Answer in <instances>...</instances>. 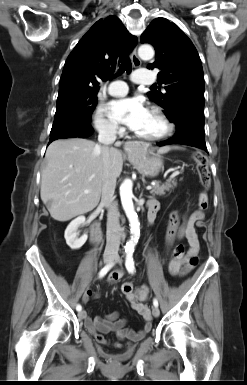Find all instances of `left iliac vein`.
<instances>
[{
    "label": "left iliac vein",
    "instance_id": "1",
    "mask_svg": "<svg viewBox=\"0 0 247 385\" xmlns=\"http://www.w3.org/2000/svg\"><path fill=\"white\" fill-rule=\"evenodd\" d=\"M116 261H117L118 263H121V258H120V257H116ZM152 314H153L154 317H158L159 314H160L159 308L154 306V307L152 308Z\"/></svg>",
    "mask_w": 247,
    "mask_h": 385
}]
</instances>
